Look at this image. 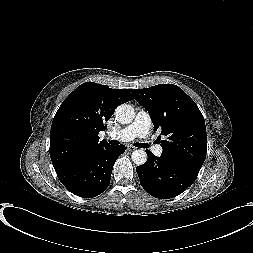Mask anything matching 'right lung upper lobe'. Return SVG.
I'll use <instances>...</instances> for the list:
<instances>
[{"mask_svg": "<svg viewBox=\"0 0 253 253\" xmlns=\"http://www.w3.org/2000/svg\"><path fill=\"white\" fill-rule=\"evenodd\" d=\"M131 89H111L86 82L61 104L50 132V157L55 170L75 164L108 146L98 133L120 104L133 99Z\"/></svg>", "mask_w": 253, "mask_h": 253, "instance_id": "obj_1", "label": "right lung upper lobe"}]
</instances>
